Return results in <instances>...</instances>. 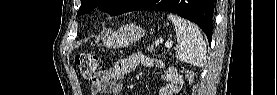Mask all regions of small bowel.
Segmentation results:
<instances>
[{
  "label": "small bowel",
  "instance_id": "c3829d8e",
  "mask_svg": "<svg viewBox=\"0 0 277 95\" xmlns=\"http://www.w3.org/2000/svg\"><path fill=\"white\" fill-rule=\"evenodd\" d=\"M160 61L137 52L122 57L115 62L112 68L101 71L98 76L91 82V94H112L119 95L122 89L120 80L140 64L158 68ZM160 76L163 80H171L176 77L173 71L162 70ZM169 87H162L159 95H170Z\"/></svg>",
  "mask_w": 277,
  "mask_h": 95
}]
</instances>
